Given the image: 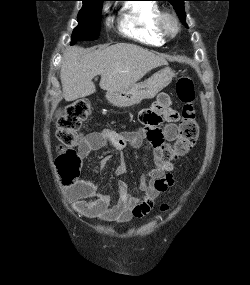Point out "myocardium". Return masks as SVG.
<instances>
[{
  "mask_svg": "<svg viewBox=\"0 0 250 285\" xmlns=\"http://www.w3.org/2000/svg\"><path fill=\"white\" fill-rule=\"evenodd\" d=\"M156 29L163 39L173 38L180 30L179 20L177 16L171 12H160L156 19Z\"/></svg>",
  "mask_w": 250,
  "mask_h": 285,
  "instance_id": "myocardium-1",
  "label": "myocardium"
}]
</instances>
